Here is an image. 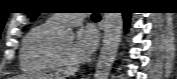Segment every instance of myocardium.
<instances>
[{"label":"myocardium","mask_w":177,"mask_h":79,"mask_svg":"<svg viewBox=\"0 0 177 79\" xmlns=\"http://www.w3.org/2000/svg\"><path fill=\"white\" fill-rule=\"evenodd\" d=\"M53 63L58 72L63 74H73L78 70V65L69 66L66 65L60 55L57 45L54 46L52 53Z\"/></svg>","instance_id":"f54148a6"}]
</instances>
